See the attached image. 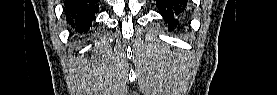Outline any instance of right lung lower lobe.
Masks as SVG:
<instances>
[{
	"mask_svg": "<svg viewBox=\"0 0 277 95\" xmlns=\"http://www.w3.org/2000/svg\"><path fill=\"white\" fill-rule=\"evenodd\" d=\"M98 0H65V13L77 33H85L98 12Z\"/></svg>",
	"mask_w": 277,
	"mask_h": 95,
	"instance_id": "98d812e1",
	"label": "right lung lower lobe"
}]
</instances>
